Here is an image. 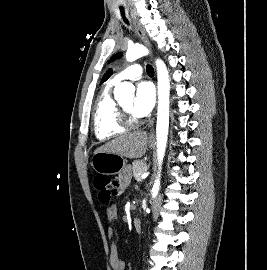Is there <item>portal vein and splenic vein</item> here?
<instances>
[{
  "label": "portal vein and splenic vein",
  "instance_id": "obj_1",
  "mask_svg": "<svg viewBox=\"0 0 267 270\" xmlns=\"http://www.w3.org/2000/svg\"><path fill=\"white\" fill-rule=\"evenodd\" d=\"M148 174H149V172H145V173L141 174L140 177H139V180L140 179H145L148 176Z\"/></svg>",
  "mask_w": 267,
  "mask_h": 270
}]
</instances>
